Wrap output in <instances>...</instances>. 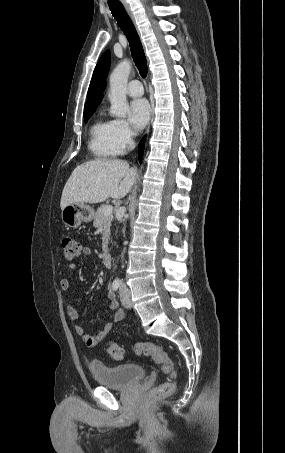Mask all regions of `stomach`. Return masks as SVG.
Here are the masks:
<instances>
[{"label": "stomach", "mask_w": 285, "mask_h": 453, "mask_svg": "<svg viewBox=\"0 0 285 453\" xmlns=\"http://www.w3.org/2000/svg\"><path fill=\"white\" fill-rule=\"evenodd\" d=\"M93 217V208L85 203L69 204L61 211V220L67 228H77L82 222H90Z\"/></svg>", "instance_id": "0dacf381"}]
</instances>
